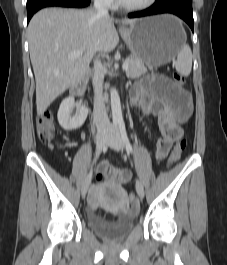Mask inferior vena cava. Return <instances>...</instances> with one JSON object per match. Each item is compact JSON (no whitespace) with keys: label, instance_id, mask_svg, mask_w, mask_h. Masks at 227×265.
I'll use <instances>...</instances> for the list:
<instances>
[{"label":"inferior vena cava","instance_id":"obj_1","mask_svg":"<svg viewBox=\"0 0 227 265\" xmlns=\"http://www.w3.org/2000/svg\"><path fill=\"white\" fill-rule=\"evenodd\" d=\"M94 9L98 15L108 17V10L103 0H94ZM105 69L99 59L94 61V120L97 127V132H108L111 128V123L108 118L104 97H103V80Z\"/></svg>","mask_w":227,"mask_h":265}]
</instances>
